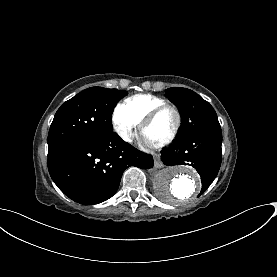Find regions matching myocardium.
<instances>
[{
    "label": "myocardium",
    "mask_w": 277,
    "mask_h": 277,
    "mask_svg": "<svg viewBox=\"0 0 277 277\" xmlns=\"http://www.w3.org/2000/svg\"><path fill=\"white\" fill-rule=\"evenodd\" d=\"M166 109H172L175 112L176 124L174 126L173 131L166 139H164L163 141H161L157 144H154L156 147H162V146H165V145L171 143L178 135L179 130L181 128V124H182V114H181L180 110L178 109V107H176L174 104H171L168 102L161 104L159 106H156L148 112V114L145 116V118L142 121L141 126H140V132H141V134H143L144 130L148 126H150L158 118V116Z\"/></svg>",
    "instance_id": "1"
}]
</instances>
